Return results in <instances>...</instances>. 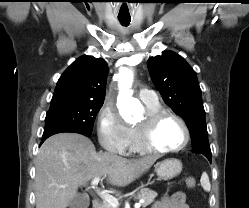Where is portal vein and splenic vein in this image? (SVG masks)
Wrapping results in <instances>:
<instances>
[{
  "label": "portal vein and splenic vein",
  "instance_id": "18ae733b",
  "mask_svg": "<svg viewBox=\"0 0 249 208\" xmlns=\"http://www.w3.org/2000/svg\"><path fill=\"white\" fill-rule=\"evenodd\" d=\"M100 181V177H96L91 181V187L94 189ZM98 195L107 203H109L113 208H117L119 206V201L117 198L113 197L112 195L104 192H100L98 189L96 190ZM144 200H141L138 203H135L134 207L135 208H140L141 204L143 203Z\"/></svg>",
  "mask_w": 249,
  "mask_h": 208
}]
</instances>
